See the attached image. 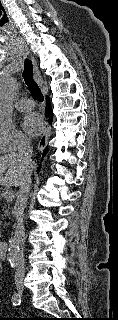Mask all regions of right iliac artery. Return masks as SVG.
I'll return each instance as SVG.
<instances>
[{
	"label": "right iliac artery",
	"instance_id": "right-iliac-artery-1",
	"mask_svg": "<svg viewBox=\"0 0 118 320\" xmlns=\"http://www.w3.org/2000/svg\"><path fill=\"white\" fill-rule=\"evenodd\" d=\"M12 303L13 305H20L21 303V295L20 293H14L12 296Z\"/></svg>",
	"mask_w": 118,
	"mask_h": 320
}]
</instances>
